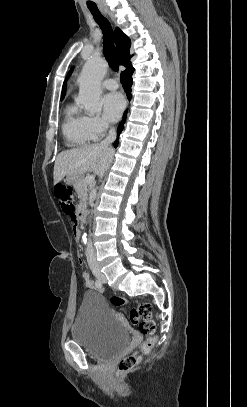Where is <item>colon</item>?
Segmentation results:
<instances>
[{
	"label": "colon",
	"mask_w": 247,
	"mask_h": 407,
	"mask_svg": "<svg viewBox=\"0 0 247 407\" xmlns=\"http://www.w3.org/2000/svg\"><path fill=\"white\" fill-rule=\"evenodd\" d=\"M55 195L59 199L62 211L71 216L74 214V202L72 188L65 184L55 186ZM112 303L115 306H124L128 304V299L124 296L115 295L112 297ZM129 320L132 324L138 325L140 331L147 336L143 342L140 353L131 354L122 358L119 363L117 373L119 376L133 370L140 362L141 355L148 354L156 342L155 323L153 320L152 307L148 303H143L136 308H132L129 313Z\"/></svg>",
	"instance_id": "obj_1"
}]
</instances>
